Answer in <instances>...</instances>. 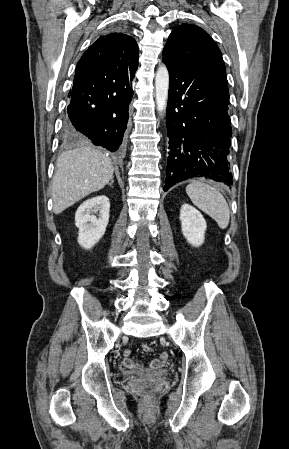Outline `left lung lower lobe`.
<instances>
[{
  "label": "left lung lower lobe",
  "instance_id": "obj_1",
  "mask_svg": "<svg viewBox=\"0 0 289 449\" xmlns=\"http://www.w3.org/2000/svg\"><path fill=\"white\" fill-rule=\"evenodd\" d=\"M169 75L168 165L164 191L192 177L231 186L229 96L190 66L163 57Z\"/></svg>",
  "mask_w": 289,
  "mask_h": 449
}]
</instances>
